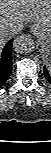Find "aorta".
Masks as SVG:
<instances>
[{
	"instance_id": "obj_1",
	"label": "aorta",
	"mask_w": 51,
	"mask_h": 153,
	"mask_svg": "<svg viewBox=\"0 0 51 153\" xmlns=\"http://www.w3.org/2000/svg\"><path fill=\"white\" fill-rule=\"evenodd\" d=\"M33 39L29 35H19L13 42V49L18 54H25L31 51L33 47Z\"/></svg>"
}]
</instances>
